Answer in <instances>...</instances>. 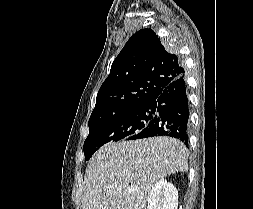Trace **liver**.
Here are the masks:
<instances>
[{"mask_svg":"<svg viewBox=\"0 0 253 209\" xmlns=\"http://www.w3.org/2000/svg\"><path fill=\"white\" fill-rule=\"evenodd\" d=\"M187 159L185 145L166 136L107 144L86 168L81 209H145L157 181L187 172Z\"/></svg>","mask_w":253,"mask_h":209,"instance_id":"obj_1","label":"liver"}]
</instances>
